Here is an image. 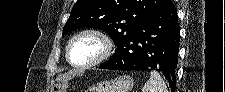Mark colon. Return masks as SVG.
<instances>
[{
    "label": "colon",
    "instance_id": "1",
    "mask_svg": "<svg viewBox=\"0 0 225 92\" xmlns=\"http://www.w3.org/2000/svg\"><path fill=\"white\" fill-rule=\"evenodd\" d=\"M67 84V76H60L55 83V92H65Z\"/></svg>",
    "mask_w": 225,
    "mask_h": 92
}]
</instances>
